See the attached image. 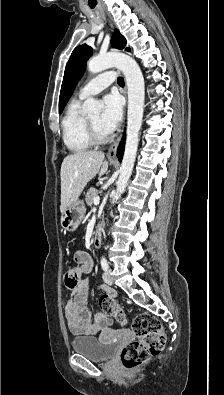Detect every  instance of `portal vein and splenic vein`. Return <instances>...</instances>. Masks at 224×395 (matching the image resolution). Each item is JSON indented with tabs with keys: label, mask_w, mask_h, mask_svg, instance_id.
Returning a JSON list of instances; mask_svg holds the SVG:
<instances>
[{
	"label": "portal vein and splenic vein",
	"mask_w": 224,
	"mask_h": 395,
	"mask_svg": "<svg viewBox=\"0 0 224 395\" xmlns=\"http://www.w3.org/2000/svg\"><path fill=\"white\" fill-rule=\"evenodd\" d=\"M93 203H94V205H99V203H100V198H99V197H95V198L93 199Z\"/></svg>",
	"instance_id": "portal-vein-and-splenic-vein-1"
}]
</instances>
